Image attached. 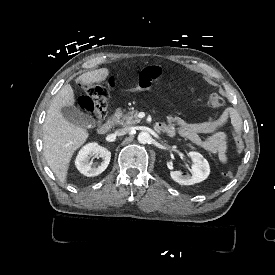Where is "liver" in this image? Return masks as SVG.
Instances as JSON below:
<instances>
[{
  "label": "liver",
  "mask_w": 275,
  "mask_h": 275,
  "mask_svg": "<svg viewBox=\"0 0 275 275\" xmlns=\"http://www.w3.org/2000/svg\"><path fill=\"white\" fill-rule=\"evenodd\" d=\"M108 78L109 69L101 68L79 75L75 78V83L81 86L100 85ZM75 104L71 84L64 85L51 101L43 125L44 157L53 173L63 184L67 183L72 157L90 137L87 129L70 123L63 115V108L73 107Z\"/></svg>",
  "instance_id": "1"
}]
</instances>
